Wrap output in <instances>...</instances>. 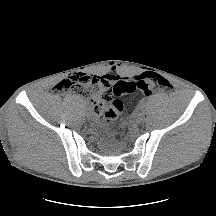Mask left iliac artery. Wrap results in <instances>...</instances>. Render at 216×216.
Segmentation results:
<instances>
[{
    "label": "left iliac artery",
    "mask_w": 216,
    "mask_h": 216,
    "mask_svg": "<svg viewBox=\"0 0 216 216\" xmlns=\"http://www.w3.org/2000/svg\"><path fill=\"white\" fill-rule=\"evenodd\" d=\"M145 105H144V101H141L140 105H139V108H143Z\"/></svg>",
    "instance_id": "44dca946"
}]
</instances>
